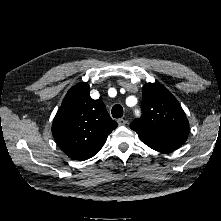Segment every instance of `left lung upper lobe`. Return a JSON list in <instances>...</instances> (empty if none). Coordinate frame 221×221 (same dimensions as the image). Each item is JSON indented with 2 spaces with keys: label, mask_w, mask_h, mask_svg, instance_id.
I'll list each match as a JSON object with an SVG mask.
<instances>
[{
  "label": "left lung upper lobe",
  "mask_w": 221,
  "mask_h": 221,
  "mask_svg": "<svg viewBox=\"0 0 221 221\" xmlns=\"http://www.w3.org/2000/svg\"><path fill=\"white\" fill-rule=\"evenodd\" d=\"M142 95L143 115L130 124L131 129L139 136L186 141L189 122L176 98L157 83L145 84Z\"/></svg>",
  "instance_id": "1"
}]
</instances>
